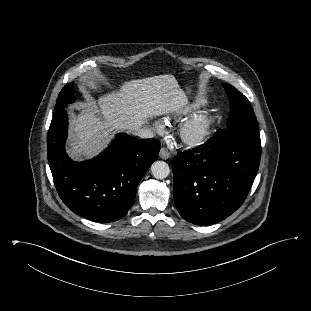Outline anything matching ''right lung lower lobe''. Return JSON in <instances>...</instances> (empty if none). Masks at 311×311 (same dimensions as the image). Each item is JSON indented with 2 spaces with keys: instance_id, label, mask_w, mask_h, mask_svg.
I'll return each mask as SVG.
<instances>
[{
  "instance_id": "right-lung-lower-lobe-1",
  "label": "right lung lower lobe",
  "mask_w": 311,
  "mask_h": 311,
  "mask_svg": "<svg viewBox=\"0 0 311 311\" xmlns=\"http://www.w3.org/2000/svg\"><path fill=\"white\" fill-rule=\"evenodd\" d=\"M67 125L62 109L53 116L47 135L48 162L60 198L89 220L121 219L134 202L140 180L157 159L160 142L121 133L93 160L73 162L64 149Z\"/></svg>"
}]
</instances>
